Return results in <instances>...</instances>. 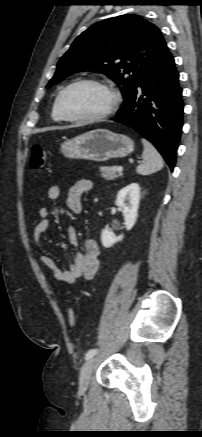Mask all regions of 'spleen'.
<instances>
[{
    "label": "spleen",
    "instance_id": "3e777b00",
    "mask_svg": "<svg viewBox=\"0 0 202 437\" xmlns=\"http://www.w3.org/2000/svg\"><path fill=\"white\" fill-rule=\"evenodd\" d=\"M144 146L143 163L137 166L136 172L140 175H150L161 170L164 166L163 159L156 148L146 139H142Z\"/></svg>",
    "mask_w": 202,
    "mask_h": 437
}]
</instances>
